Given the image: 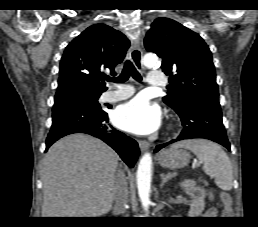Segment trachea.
<instances>
[{
	"instance_id": "1",
	"label": "trachea",
	"mask_w": 258,
	"mask_h": 227,
	"mask_svg": "<svg viewBox=\"0 0 258 227\" xmlns=\"http://www.w3.org/2000/svg\"><path fill=\"white\" fill-rule=\"evenodd\" d=\"M135 53H137V52H135ZM130 76H132L137 81L142 80L141 75L136 70L133 63L131 61L127 60L124 64V68L122 70V73L117 78H107V81L124 83L129 79Z\"/></svg>"
}]
</instances>
